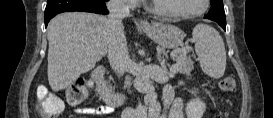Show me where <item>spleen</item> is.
I'll list each match as a JSON object with an SVG mask.
<instances>
[{
	"label": "spleen",
	"mask_w": 273,
	"mask_h": 118,
	"mask_svg": "<svg viewBox=\"0 0 273 118\" xmlns=\"http://www.w3.org/2000/svg\"><path fill=\"white\" fill-rule=\"evenodd\" d=\"M192 36L203 72L212 78H221L226 69V51L219 32L207 24H198Z\"/></svg>",
	"instance_id": "1"
}]
</instances>
